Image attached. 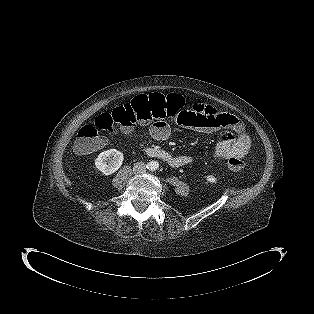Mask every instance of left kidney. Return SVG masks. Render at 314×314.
Returning a JSON list of instances; mask_svg holds the SVG:
<instances>
[{"label":"left kidney","mask_w":314,"mask_h":314,"mask_svg":"<svg viewBox=\"0 0 314 314\" xmlns=\"http://www.w3.org/2000/svg\"><path fill=\"white\" fill-rule=\"evenodd\" d=\"M206 180L209 182V183H215L217 181V178L213 175H208L206 176Z\"/></svg>","instance_id":"left-kidney-1"}]
</instances>
